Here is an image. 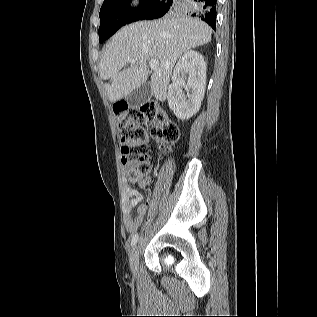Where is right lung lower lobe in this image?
<instances>
[{
    "instance_id": "98d812e1",
    "label": "right lung lower lobe",
    "mask_w": 317,
    "mask_h": 317,
    "mask_svg": "<svg viewBox=\"0 0 317 317\" xmlns=\"http://www.w3.org/2000/svg\"><path fill=\"white\" fill-rule=\"evenodd\" d=\"M164 1V2H163ZM174 0H162L146 17V20L160 18L169 12ZM216 3L217 0H185L183 9L216 28Z\"/></svg>"
}]
</instances>
